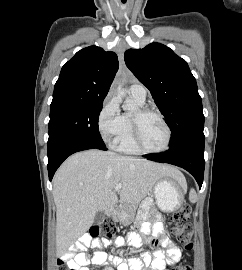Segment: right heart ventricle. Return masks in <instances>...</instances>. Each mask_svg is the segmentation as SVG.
Listing matches in <instances>:
<instances>
[{"label": "right heart ventricle", "instance_id": "obj_1", "mask_svg": "<svg viewBox=\"0 0 242 270\" xmlns=\"http://www.w3.org/2000/svg\"><path fill=\"white\" fill-rule=\"evenodd\" d=\"M134 100V99H133ZM137 105L142 106L143 103H140L134 100ZM131 115L129 113H124L122 115V128L115 140L116 150L127 153V154H136L139 153L137 148L134 145L132 137V124H131Z\"/></svg>", "mask_w": 242, "mask_h": 270}]
</instances>
